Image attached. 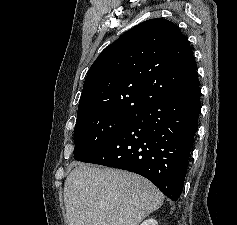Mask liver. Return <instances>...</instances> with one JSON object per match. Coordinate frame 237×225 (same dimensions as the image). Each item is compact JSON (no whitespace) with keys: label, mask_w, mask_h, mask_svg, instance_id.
<instances>
[{"label":"liver","mask_w":237,"mask_h":225,"mask_svg":"<svg viewBox=\"0 0 237 225\" xmlns=\"http://www.w3.org/2000/svg\"><path fill=\"white\" fill-rule=\"evenodd\" d=\"M163 194L135 173L78 163L64 184L68 225H139Z\"/></svg>","instance_id":"6515ba94"}]
</instances>
